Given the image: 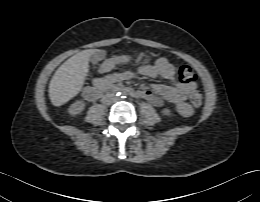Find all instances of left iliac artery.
Listing matches in <instances>:
<instances>
[{
	"label": "left iliac artery",
	"mask_w": 260,
	"mask_h": 202,
	"mask_svg": "<svg viewBox=\"0 0 260 202\" xmlns=\"http://www.w3.org/2000/svg\"><path fill=\"white\" fill-rule=\"evenodd\" d=\"M126 96H127V93L123 92L122 93V98H126Z\"/></svg>",
	"instance_id": "left-iliac-artery-1"
}]
</instances>
